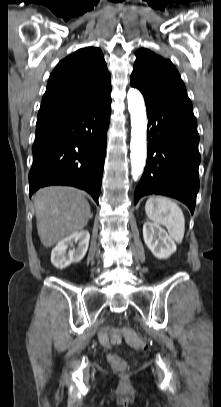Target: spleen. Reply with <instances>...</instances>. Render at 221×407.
<instances>
[{
    "instance_id": "spleen-1",
    "label": "spleen",
    "mask_w": 221,
    "mask_h": 407,
    "mask_svg": "<svg viewBox=\"0 0 221 407\" xmlns=\"http://www.w3.org/2000/svg\"><path fill=\"white\" fill-rule=\"evenodd\" d=\"M145 212L154 223L164 225L169 235L181 243L185 232V218L181 208L171 199L152 196L145 204Z\"/></svg>"
}]
</instances>
